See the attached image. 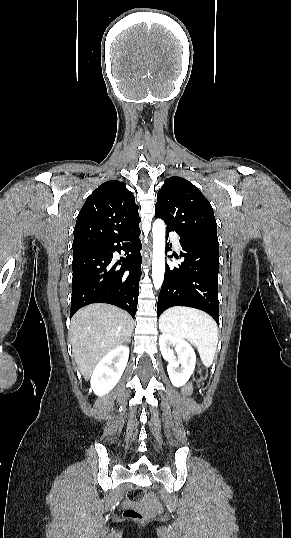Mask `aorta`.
<instances>
[{"instance_id":"1","label":"aorta","mask_w":291,"mask_h":538,"mask_svg":"<svg viewBox=\"0 0 291 538\" xmlns=\"http://www.w3.org/2000/svg\"><path fill=\"white\" fill-rule=\"evenodd\" d=\"M152 279L156 290L160 289L165 273V223L156 219L153 223Z\"/></svg>"}]
</instances>
